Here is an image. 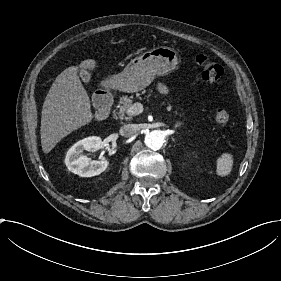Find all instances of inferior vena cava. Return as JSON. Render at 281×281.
<instances>
[{
	"label": "inferior vena cava",
	"instance_id": "1",
	"mask_svg": "<svg viewBox=\"0 0 281 281\" xmlns=\"http://www.w3.org/2000/svg\"><path fill=\"white\" fill-rule=\"evenodd\" d=\"M138 127L134 124H127L120 128V134L124 137H131L137 133Z\"/></svg>",
	"mask_w": 281,
	"mask_h": 281
}]
</instances>
